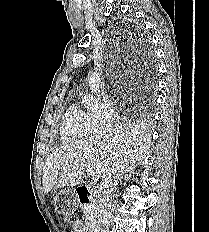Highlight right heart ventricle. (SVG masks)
<instances>
[{
	"label": "right heart ventricle",
	"mask_w": 209,
	"mask_h": 232,
	"mask_svg": "<svg viewBox=\"0 0 209 232\" xmlns=\"http://www.w3.org/2000/svg\"><path fill=\"white\" fill-rule=\"evenodd\" d=\"M60 133L63 141L76 142L93 133L88 114L76 104H71L63 115Z\"/></svg>",
	"instance_id": "1"
}]
</instances>
